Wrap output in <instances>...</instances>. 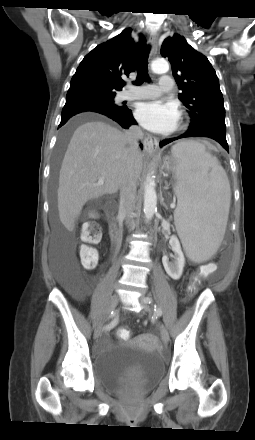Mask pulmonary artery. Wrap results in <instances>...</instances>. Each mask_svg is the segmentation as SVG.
Masks as SVG:
<instances>
[{"label":"pulmonary artery","instance_id":"pulmonary-artery-1","mask_svg":"<svg viewBox=\"0 0 255 440\" xmlns=\"http://www.w3.org/2000/svg\"><path fill=\"white\" fill-rule=\"evenodd\" d=\"M174 85L173 79L170 75H162L158 85L149 84L141 87L133 88L130 91H125L121 94L122 100L133 99H151L156 98L164 92L172 90Z\"/></svg>","mask_w":255,"mask_h":440}]
</instances>
